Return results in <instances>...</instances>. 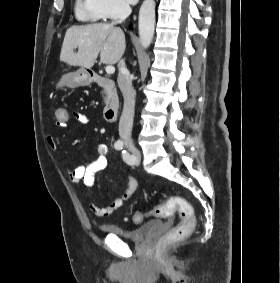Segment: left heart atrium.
<instances>
[{
  "label": "left heart atrium",
  "instance_id": "left-heart-atrium-1",
  "mask_svg": "<svg viewBox=\"0 0 280 283\" xmlns=\"http://www.w3.org/2000/svg\"><path fill=\"white\" fill-rule=\"evenodd\" d=\"M130 4H135L137 3L138 0H127Z\"/></svg>",
  "mask_w": 280,
  "mask_h": 283
}]
</instances>
